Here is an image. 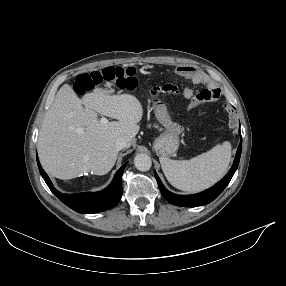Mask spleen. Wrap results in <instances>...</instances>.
I'll use <instances>...</instances> for the list:
<instances>
[{
    "label": "spleen",
    "mask_w": 286,
    "mask_h": 286,
    "mask_svg": "<svg viewBox=\"0 0 286 286\" xmlns=\"http://www.w3.org/2000/svg\"><path fill=\"white\" fill-rule=\"evenodd\" d=\"M230 159L231 145L224 142L190 160L160 157V163L165 177L172 186L195 193L219 181L225 175Z\"/></svg>",
    "instance_id": "spleen-1"
}]
</instances>
